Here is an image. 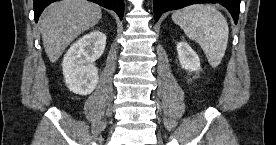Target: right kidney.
I'll return each instance as SVG.
<instances>
[{
    "instance_id": "right-kidney-1",
    "label": "right kidney",
    "mask_w": 276,
    "mask_h": 145,
    "mask_svg": "<svg viewBox=\"0 0 276 145\" xmlns=\"http://www.w3.org/2000/svg\"><path fill=\"white\" fill-rule=\"evenodd\" d=\"M106 36L93 30L71 45L62 62L65 83L70 91L89 95L98 83V68L95 61L101 57Z\"/></svg>"
}]
</instances>
